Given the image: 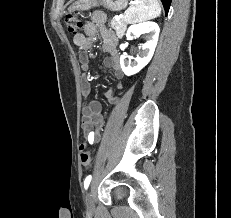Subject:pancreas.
<instances>
[{
  "label": "pancreas",
  "instance_id": "1",
  "mask_svg": "<svg viewBox=\"0 0 231 218\" xmlns=\"http://www.w3.org/2000/svg\"><path fill=\"white\" fill-rule=\"evenodd\" d=\"M111 27L116 30V33H117V36L119 38H122L125 31H126V28H127V24L125 22L124 19H119V20H116V19H112L111 20Z\"/></svg>",
  "mask_w": 231,
  "mask_h": 218
}]
</instances>
